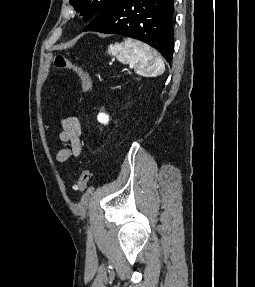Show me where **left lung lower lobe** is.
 Masks as SVG:
<instances>
[{
    "instance_id": "obj_1",
    "label": "left lung lower lobe",
    "mask_w": 255,
    "mask_h": 287,
    "mask_svg": "<svg viewBox=\"0 0 255 287\" xmlns=\"http://www.w3.org/2000/svg\"><path fill=\"white\" fill-rule=\"evenodd\" d=\"M173 0H112L83 31L119 34L157 49L167 62L173 56Z\"/></svg>"
}]
</instances>
